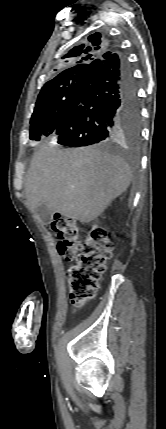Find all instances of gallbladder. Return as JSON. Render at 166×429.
Listing matches in <instances>:
<instances>
[{
	"label": "gallbladder",
	"instance_id": "1",
	"mask_svg": "<svg viewBox=\"0 0 166 429\" xmlns=\"http://www.w3.org/2000/svg\"><path fill=\"white\" fill-rule=\"evenodd\" d=\"M36 213L39 215L44 224H48L51 220V210L42 204L36 208Z\"/></svg>",
	"mask_w": 166,
	"mask_h": 429
}]
</instances>
